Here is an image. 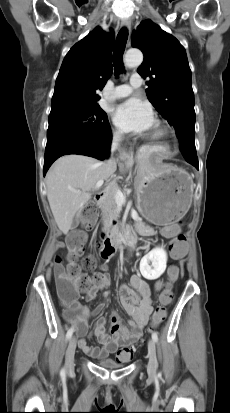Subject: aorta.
Instances as JSON below:
<instances>
[{"label": "aorta", "instance_id": "aorta-1", "mask_svg": "<svg viewBox=\"0 0 230 413\" xmlns=\"http://www.w3.org/2000/svg\"><path fill=\"white\" fill-rule=\"evenodd\" d=\"M124 61L127 67H136L142 63L143 54L138 49H130L127 51ZM131 246H134V242Z\"/></svg>", "mask_w": 230, "mask_h": 413}]
</instances>
